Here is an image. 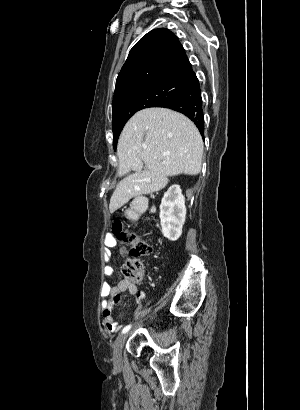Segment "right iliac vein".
Wrapping results in <instances>:
<instances>
[{"instance_id":"1","label":"right iliac vein","mask_w":300,"mask_h":410,"mask_svg":"<svg viewBox=\"0 0 300 410\" xmlns=\"http://www.w3.org/2000/svg\"><path fill=\"white\" fill-rule=\"evenodd\" d=\"M126 338H127V334H123V335H120L115 341L114 350H113V360L116 364H118L121 361L122 349H123Z\"/></svg>"}]
</instances>
